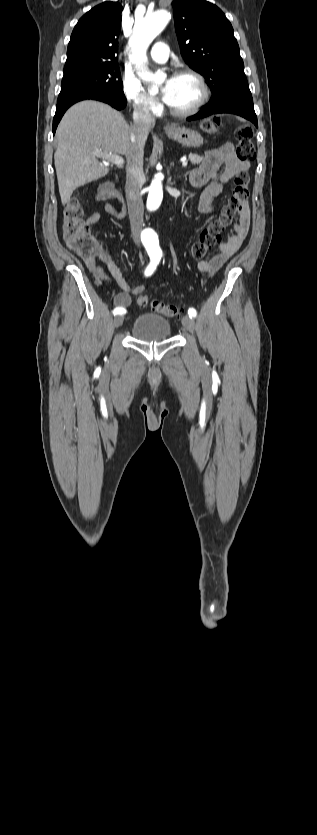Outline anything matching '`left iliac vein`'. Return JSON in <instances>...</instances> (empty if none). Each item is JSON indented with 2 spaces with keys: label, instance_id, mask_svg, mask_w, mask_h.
Masks as SVG:
<instances>
[{
  "label": "left iliac vein",
  "instance_id": "4c4485c4",
  "mask_svg": "<svg viewBox=\"0 0 317 835\" xmlns=\"http://www.w3.org/2000/svg\"><path fill=\"white\" fill-rule=\"evenodd\" d=\"M182 324H183V327L185 328V330H187L188 332H191V333L194 332L195 322L191 317L184 316L182 318Z\"/></svg>",
  "mask_w": 317,
  "mask_h": 835
}]
</instances>
